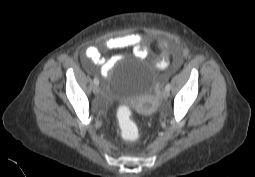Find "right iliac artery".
<instances>
[{
	"label": "right iliac artery",
	"mask_w": 255,
	"mask_h": 177,
	"mask_svg": "<svg viewBox=\"0 0 255 177\" xmlns=\"http://www.w3.org/2000/svg\"><path fill=\"white\" fill-rule=\"evenodd\" d=\"M93 81H94V84H95V85H98V84H99V80H98L96 77L94 78Z\"/></svg>",
	"instance_id": "obj_1"
}]
</instances>
